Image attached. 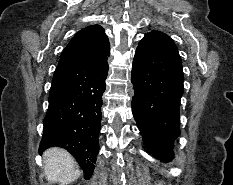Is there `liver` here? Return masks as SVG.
Here are the masks:
<instances>
[{"label":"liver","mask_w":233,"mask_h":185,"mask_svg":"<svg viewBox=\"0 0 233 185\" xmlns=\"http://www.w3.org/2000/svg\"><path fill=\"white\" fill-rule=\"evenodd\" d=\"M44 172L49 182L68 185L81 174L74 158L64 149L50 148L43 154Z\"/></svg>","instance_id":"obj_1"}]
</instances>
